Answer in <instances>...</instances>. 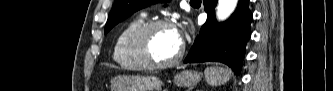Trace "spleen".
Instances as JSON below:
<instances>
[{
  "instance_id": "obj_1",
  "label": "spleen",
  "mask_w": 333,
  "mask_h": 91,
  "mask_svg": "<svg viewBox=\"0 0 333 91\" xmlns=\"http://www.w3.org/2000/svg\"><path fill=\"white\" fill-rule=\"evenodd\" d=\"M231 77V70L222 67H208L205 70V78L211 86L226 83Z\"/></svg>"
}]
</instances>
